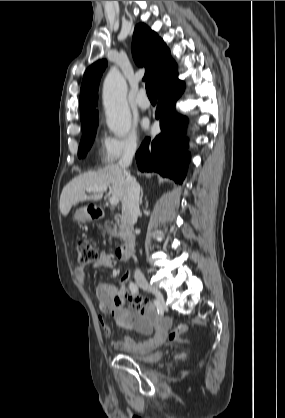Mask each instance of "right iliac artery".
<instances>
[{
	"label": "right iliac artery",
	"instance_id": "82829eb1",
	"mask_svg": "<svg viewBox=\"0 0 285 418\" xmlns=\"http://www.w3.org/2000/svg\"><path fill=\"white\" fill-rule=\"evenodd\" d=\"M129 287H130V290L133 293H138L139 292L138 286L134 282H130Z\"/></svg>",
	"mask_w": 285,
	"mask_h": 418
}]
</instances>
